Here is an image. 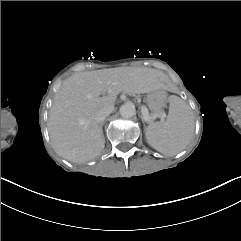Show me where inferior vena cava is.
<instances>
[{
    "label": "inferior vena cava",
    "mask_w": 241,
    "mask_h": 241,
    "mask_svg": "<svg viewBox=\"0 0 241 241\" xmlns=\"http://www.w3.org/2000/svg\"><path fill=\"white\" fill-rule=\"evenodd\" d=\"M114 111V106H110L101 110L95 117L98 124H102L104 120Z\"/></svg>",
    "instance_id": "inferior-vena-cava-1"
}]
</instances>
